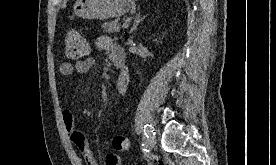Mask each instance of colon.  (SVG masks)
<instances>
[{
	"label": "colon",
	"instance_id": "1",
	"mask_svg": "<svg viewBox=\"0 0 276 165\" xmlns=\"http://www.w3.org/2000/svg\"><path fill=\"white\" fill-rule=\"evenodd\" d=\"M65 56L68 60H79L88 51L86 40L76 30H69L64 36ZM112 146L116 151H126L129 148V140L124 136H115Z\"/></svg>",
	"mask_w": 276,
	"mask_h": 165
}]
</instances>
